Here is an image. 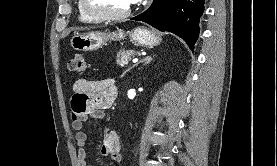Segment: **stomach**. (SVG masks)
I'll list each match as a JSON object with an SVG mask.
<instances>
[{
	"instance_id": "stomach-1",
	"label": "stomach",
	"mask_w": 277,
	"mask_h": 166,
	"mask_svg": "<svg viewBox=\"0 0 277 166\" xmlns=\"http://www.w3.org/2000/svg\"><path fill=\"white\" fill-rule=\"evenodd\" d=\"M130 39L134 43L144 47H153L160 43L161 39L155 33L144 27H137L130 32ZM125 37L123 31L101 32L92 31L83 34H75L71 39V46L78 51H93L108 41H120Z\"/></svg>"
}]
</instances>
